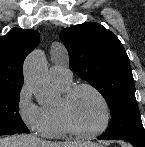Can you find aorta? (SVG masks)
Here are the masks:
<instances>
[{"mask_svg":"<svg viewBox=\"0 0 145 147\" xmlns=\"http://www.w3.org/2000/svg\"><path fill=\"white\" fill-rule=\"evenodd\" d=\"M25 83L33 90L39 103L50 100L53 95L44 53L36 49L24 62Z\"/></svg>","mask_w":145,"mask_h":147,"instance_id":"1","label":"aorta"}]
</instances>
